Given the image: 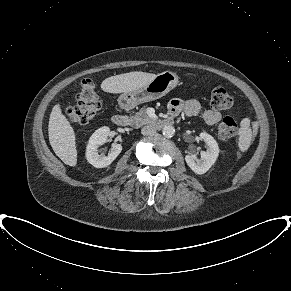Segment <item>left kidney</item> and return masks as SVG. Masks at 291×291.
<instances>
[{"instance_id":"obj_1","label":"left kidney","mask_w":291,"mask_h":291,"mask_svg":"<svg viewBox=\"0 0 291 291\" xmlns=\"http://www.w3.org/2000/svg\"><path fill=\"white\" fill-rule=\"evenodd\" d=\"M200 138L207 144V151L200 153L201 159H197L195 155H186L185 161L190 169L196 174L206 173L216 162L219 155V147L216 140L206 132L200 133Z\"/></svg>"}]
</instances>
